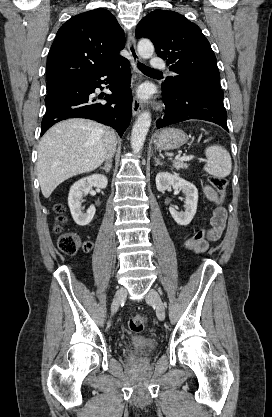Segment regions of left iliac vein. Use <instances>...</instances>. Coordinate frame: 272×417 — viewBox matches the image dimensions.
<instances>
[{
    "instance_id": "left-iliac-vein-1",
    "label": "left iliac vein",
    "mask_w": 272,
    "mask_h": 417,
    "mask_svg": "<svg viewBox=\"0 0 272 417\" xmlns=\"http://www.w3.org/2000/svg\"><path fill=\"white\" fill-rule=\"evenodd\" d=\"M146 302L155 306L156 308V315L158 317L159 320H164L165 319V305L159 295V293L151 288L147 295H146Z\"/></svg>"
}]
</instances>
